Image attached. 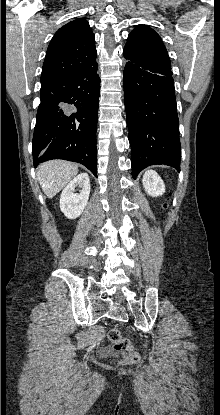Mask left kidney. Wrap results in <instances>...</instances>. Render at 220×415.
Masks as SVG:
<instances>
[{"label": "left kidney", "instance_id": "5707ae66", "mask_svg": "<svg viewBox=\"0 0 220 415\" xmlns=\"http://www.w3.org/2000/svg\"><path fill=\"white\" fill-rule=\"evenodd\" d=\"M142 183L146 193L152 197L161 196L165 192L164 182L153 170L144 173Z\"/></svg>", "mask_w": 220, "mask_h": 415}]
</instances>
